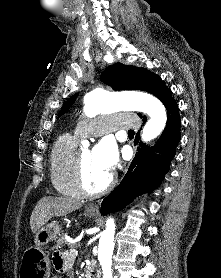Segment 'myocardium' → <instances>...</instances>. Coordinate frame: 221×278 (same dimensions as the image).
<instances>
[{"label": "myocardium", "instance_id": "1", "mask_svg": "<svg viewBox=\"0 0 221 278\" xmlns=\"http://www.w3.org/2000/svg\"><path fill=\"white\" fill-rule=\"evenodd\" d=\"M83 152L78 151L74 158L73 169H72V180L74 187L81 197L94 198L101 196L108 192L114 185L116 177L113 173H110V176L105 183V185L97 190H90L84 181L83 176Z\"/></svg>", "mask_w": 221, "mask_h": 278}]
</instances>
